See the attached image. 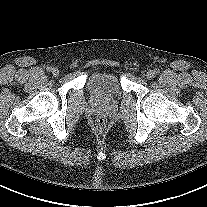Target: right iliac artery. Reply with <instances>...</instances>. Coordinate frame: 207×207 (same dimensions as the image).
<instances>
[{"label":"right iliac artery","mask_w":207,"mask_h":207,"mask_svg":"<svg viewBox=\"0 0 207 207\" xmlns=\"http://www.w3.org/2000/svg\"><path fill=\"white\" fill-rule=\"evenodd\" d=\"M47 71H49V72L52 71V67H50V66L47 67Z\"/></svg>","instance_id":"82829eb1"}]
</instances>
